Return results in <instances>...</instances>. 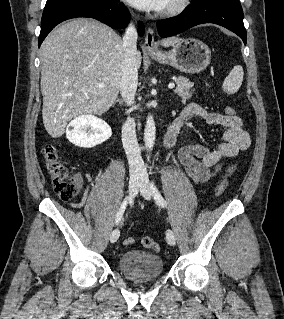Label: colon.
Wrapping results in <instances>:
<instances>
[{"label":"colon","mask_w":284,"mask_h":319,"mask_svg":"<svg viewBox=\"0 0 284 319\" xmlns=\"http://www.w3.org/2000/svg\"><path fill=\"white\" fill-rule=\"evenodd\" d=\"M227 116H235V110L232 107H227L225 110ZM43 157L47 165V169L52 179V185L55 193L62 200H71L75 198L82 189V178L77 173H70L65 166L59 161L57 151L54 146L46 145L43 149ZM234 166L230 165L225 170L222 178L218 182L215 190L216 196L224 193L228 185V179L233 173ZM124 245L130 246L134 243L133 238L124 240ZM141 243L144 247L155 252L160 250L159 244L151 237L145 236Z\"/></svg>","instance_id":"1"}]
</instances>
